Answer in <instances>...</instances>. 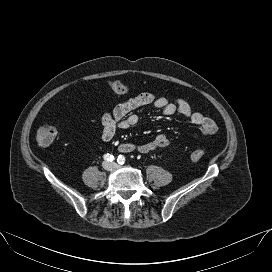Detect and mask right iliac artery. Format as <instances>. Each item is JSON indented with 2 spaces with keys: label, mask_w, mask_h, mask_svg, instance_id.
Here are the masks:
<instances>
[{
  "label": "right iliac artery",
  "mask_w": 272,
  "mask_h": 272,
  "mask_svg": "<svg viewBox=\"0 0 272 272\" xmlns=\"http://www.w3.org/2000/svg\"><path fill=\"white\" fill-rule=\"evenodd\" d=\"M103 158H104V160L109 161V162H112L114 160V156L109 153L105 154L103 156Z\"/></svg>",
  "instance_id": "1"
}]
</instances>
